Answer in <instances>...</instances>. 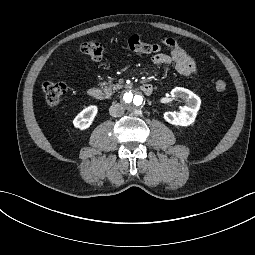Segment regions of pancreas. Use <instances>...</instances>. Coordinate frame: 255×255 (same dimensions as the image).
I'll use <instances>...</instances> for the list:
<instances>
[{"instance_id":"obj_1","label":"pancreas","mask_w":255,"mask_h":255,"mask_svg":"<svg viewBox=\"0 0 255 255\" xmlns=\"http://www.w3.org/2000/svg\"><path fill=\"white\" fill-rule=\"evenodd\" d=\"M101 86H103V94L105 96H109L112 93H114L115 90L122 89L123 86L119 84H113V83H102ZM109 86V87H108Z\"/></svg>"}]
</instances>
